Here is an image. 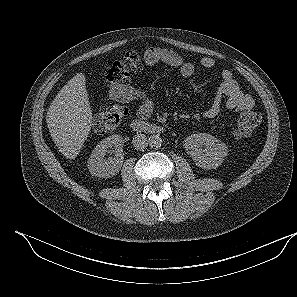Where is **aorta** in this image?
Returning <instances> with one entry per match:
<instances>
[{
	"instance_id": "762f6f07",
	"label": "aorta",
	"mask_w": 297,
	"mask_h": 297,
	"mask_svg": "<svg viewBox=\"0 0 297 297\" xmlns=\"http://www.w3.org/2000/svg\"><path fill=\"white\" fill-rule=\"evenodd\" d=\"M148 144L151 148H160L162 139L159 135H151L148 139Z\"/></svg>"
}]
</instances>
